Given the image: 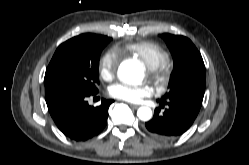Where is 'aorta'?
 <instances>
[{
  "label": "aorta",
  "mask_w": 249,
  "mask_h": 165,
  "mask_svg": "<svg viewBox=\"0 0 249 165\" xmlns=\"http://www.w3.org/2000/svg\"><path fill=\"white\" fill-rule=\"evenodd\" d=\"M120 79L129 84H139L144 76L143 66L133 60L123 61L118 68ZM137 116L142 121H148L152 117V110L149 107H140Z\"/></svg>",
  "instance_id": "762f6f07"
}]
</instances>
